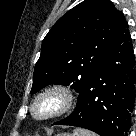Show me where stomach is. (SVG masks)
<instances>
[{
	"instance_id": "obj_1",
	"label": "stomach",
	"mask_w": 136,
	"mask_h": 136,
	"mask_svg": "<svg viewBox=\"0 0 136 136\" xmlns=\"http://www.w3.org/2000/svg\"><path fill=\"white\" fill-rule=\"evenodd\" d=\"M58 136H70V135H68V134H60Z\"/></svg>"
}]
</instances>
